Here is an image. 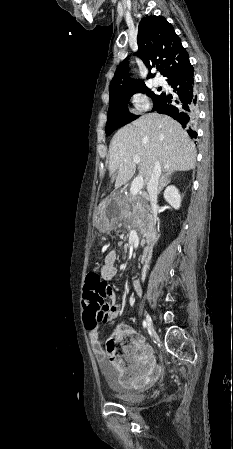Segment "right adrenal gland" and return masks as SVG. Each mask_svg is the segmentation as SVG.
I'll return each mask as SVG.
<instances>
[{"label":"right adrenal gland","instance_id":"right-adrenal-gland-1","mask_svg":"<svg viewBox=\"0 0 233 449\" xmlns=\"http://www.w3.org/2000/svg\"><path fill=\"white\" fill-rule=\"evenodd\" d=\"M172 174H173V172H166L164 175H162V177L160 179V183H159L158 194H160L162 189H163V187L166 186L170 182L169 177Z\"/></svg>","mask_w":233,"mask_h":449}]
</instances>
